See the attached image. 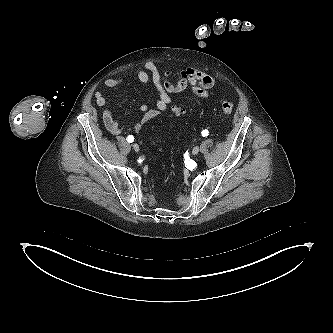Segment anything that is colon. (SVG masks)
<instances>
[{
    "label": "colon",
    "instance_id": "1",
    "mask_svg": "<svg viewBox=\"0 0 333 333\" xmlns=\"http://www.w3.org/2000/svg\"><path fill=\"white\" fill-rule=\"evenodd\" d=\"M233 103L229 100H224L221 104V110L224 115H230L233 111ZM173 112L176 115H180L182 113V109L178 106L173 107Z\"/></svg>",
    "mask_w": 333,
    "mask_h": 333
}]
</instances>
